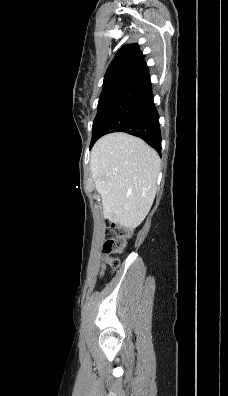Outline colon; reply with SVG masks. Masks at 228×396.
Listing matches in <instances>:
<instances>
[{
	"instance_id": "5ec220e1",
	"label": "colon",
	"mask_w": 228,
	"mask_h": 396,
	"mask_svg": "<svg viewBox=\"0 0 228 396\" xmlns=\"http://www.w3.org/2000/svg\"><path fill=\"white\" fill-rule=\"evenodd\" d=\"M110 231L113 235L104 243L103 247V265L101 274L110 267L115 269L119 266V260L116 255L120 254L126 246V239L131 235V231L124 225L112 222Z\"/></svg>"
}]
</instances>
